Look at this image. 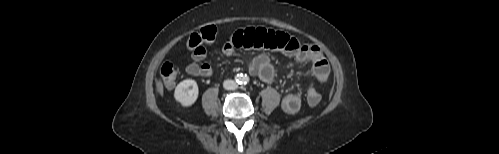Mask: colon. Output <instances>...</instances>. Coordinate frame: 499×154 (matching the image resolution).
I'll list each match as a JSON object with an SVG mask.
<instances>
[{
	"label": "colon",
	"instance_id": "colon-1",
	"mask_svg": "<svg viewBox=\"0 0 499 154\" xmlns=\"http://www.w3.org/2000/svg\"><path fill=\"white\" fill-rule=\"evenodd\" d=\"M216 36V28L207 26L197 33H192L187 39V47L189 49L199 48L205 41H211ZM177 77V71L174 65L166 62L162 65L159 72L160 82L167 88L174 86ZM306 99L309 105L316 106L321 101V95L314 87H309L306 91Z\"/></svg>",
	"mask_w": 499,
	"mask_h": 154
}]
</instances>
